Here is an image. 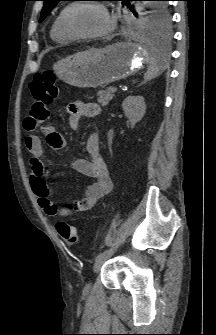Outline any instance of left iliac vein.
I'll return each mask as SVG.
<instances>
[{"instance_id": "1", "label": "left iliac vein", "mask_w": 216, "mask_h": 335, "mask_svg": "<svg viewBox=\"0 0 216 335\" xmlns=\"http://www.w3.org/2000/svg\"><path fill=\"white\" fill-rule=\"evenodd\" d=\"M104 261H105V258H101V259L96 260V262L94 264V268H93L94 273H97L101 269ZM90 287H91V284H86V286L84 288V292L87 293L90 290Z\"/></svg>"}]
</instances>
